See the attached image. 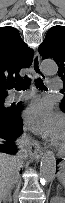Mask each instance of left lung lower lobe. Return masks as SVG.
Returning a JSON list of instances; mask_svg holds the SVG:
<instances>
[{
  "instance_id": "1",
  "label": "left lung lower lobe",
  "mask_w": 65,
  "mask_h": 203,
  "mask_svg": "<svg viewBox=\"0 0 65 203\" xmlns=\"http://www.w3.org/2000/svg\"><path fill=\"white\" fill-rule=\"evenodd\" d=\"M60 161H62V159H58V160L56 161V163H59Z\"/></svg>"
}]
</instances>
